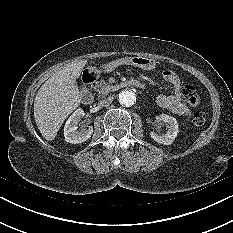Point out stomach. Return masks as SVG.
<instances>
[{"label":"stomach","instance_id":"obj_1","mask_svg":"<svg viewBox=\"0 0 233 233\" xmlns=\"http://www.w3.org/2000/svg\"><path fill=\"white\" fill-rule=\"evenodd\" d=\"M155 61L149 57L138 56L133 54L115 55L111 61L107 62L105 68L107 71L112 72L116 66L135 65L144 70H152L155 68Z\"/></svg>","mask_w":233,"mask_h":233}]
</instances>
